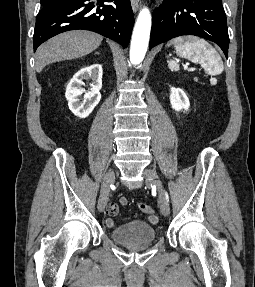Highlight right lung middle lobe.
I'll return each instance as SVG.
<instances>
[{"label": "right lung middle lobe", "mask_w": 255, "mask_h": 287, "mask_svg": "<svg viewBox=\"0 0 255 287\" xmlns=\"http://www.w3.org/2000/svg\"><path fill=\"white\" fill-rule=\"evenodd\" d=\"M56 1H60V0H41V4L43 6L49 4V3H53V2H56Z\"/></svg>", "instance_id": "right-lung-middle-lobe-1"}]
</instances>
